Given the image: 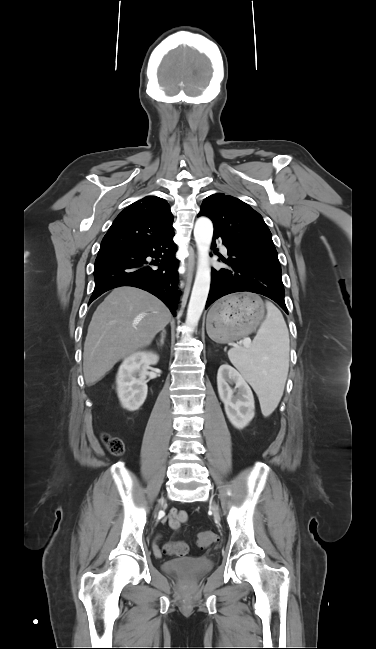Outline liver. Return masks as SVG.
I'll list each match as a JSON object with an SVG mask.
<instances>
[{"instance_id": "1", "label": "liver", "mask_w": 376, "mask_h": 649, "mask_svg": "<svg viewBox=\"0 0 376 649\" xmlns=\"http://www.w3.org/2000/svg\"><path fill=\"white\" fill-rule=\"evenodd\" d=\"M171 317L157 297L132 286L115 288L97 307L84 343L87 386L100 381L123 357L149 345Z\"/></svg>"}]
</instances>
